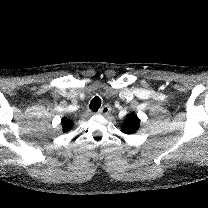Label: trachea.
Returning <instances> with one entry per match:
<instances>
[{"instance_id": "obj_1", "label": "trachea", "mask_w": 208, "mask_h": 208, "mask_svg": "<svg viewBox=\"0 0 208 208\" xmlns=\"http://www.w3.org/2000/svg\"><path fill=\"white\" fill-rule=\"evenodd\" d=\"M100 106H101V99L98 96H96L91 100L89 108L93 112H97Z\"/></svg>"}]
</instances>
